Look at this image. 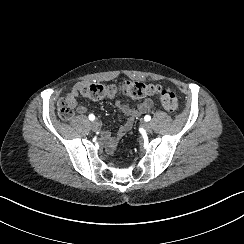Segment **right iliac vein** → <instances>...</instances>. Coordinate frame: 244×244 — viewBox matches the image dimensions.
Segmentation results:
<instances>
[{
	"label": "right iliac vein",
	"instance_id": "1",
	"mask_svg": "<svg viewBox=\"0 0 244 244\" xmlns=\"http://www.w3.org/2000/svg\"><path fill=\"white\" fill-rule=\"evenodd\" d=\"M91 127H92L94 130H98L99 127H100V123H99V121L94 120V121L91 123Z\"/></svg>",
	"mask_w": 244,
	"mask_h": 244
}]
</instances>
